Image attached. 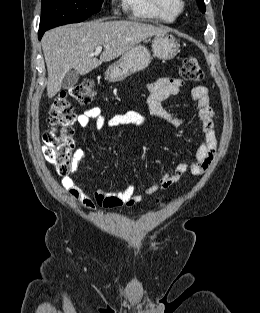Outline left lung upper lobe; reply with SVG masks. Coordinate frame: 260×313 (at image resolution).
<instances>
[{"instance_id": "left-lung-upper-lobe-1", "label": "left lung upper lobe", "mask_w": 260, "mask_h": 313, "mask_svg": "<svg viewBox=\"0 0 260 313\" xmlns=\"http://www.w3.org/2000/svg\"><path fill=\"white\" fill-rule=\"evenodd\" d=\"M200 6V10L205 13V4H204V1L203 0H196Z\"/></svg>"}]
</instances>
